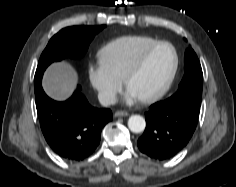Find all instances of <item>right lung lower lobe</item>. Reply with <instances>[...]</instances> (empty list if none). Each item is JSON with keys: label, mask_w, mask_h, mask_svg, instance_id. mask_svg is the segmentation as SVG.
<instances>
[{"label": "right lung lower lobe", "mask_w": 236, "mask_h": 187, "mask_svg": "<svg viewBox=\"0 0 236 187\" xmlns=\"http://www.w3.org/2000/svg\"><path fill=\"white\" fill-rule=\"evenodd\" d=\"M34 89L40 126L50 147L69 161L89 157L100 142L102 128L113 118L111 110L92 107L79 90L57 102L45 94L41 83Z\"/></svg>", "instance_id": "98d812e1"}]
</instances>
